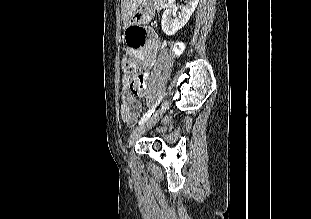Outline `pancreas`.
Segmentation results:
<instances>
[{
    "mask_svg": "<svg viewBox=\"0 0 311 219\" xmlns=\"http://www.w3.org/2000/svg\"><path fill=\"white\" fill-rule=\"evenodd\" d=\"M153 1L155 9H159L163 4V0H153Z\"/></svg>",
    "mask_w": 311,
    "mask_h": 219,
    "instance_id": "pancreas-1",
    "label": "pancreas"
}]
</instances>
